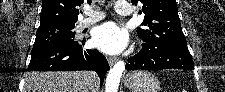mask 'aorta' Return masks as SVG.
Segmentation results:
<instances>
[{"mask_svg": "<svg viewBox=\"0 0 225 92\" xmlns=\"http://www.w3.org/2000/svg\"><path fill=\"white\" fill-rule=\"evenodd\" d=\"M125 69L124 61H118L107 74L105 91L117 92L122 73Z\"/></svg>", "mask_w": 225, "mask_h": 92, "instance_id": "1", "label": "aorta"}]
</instances>
